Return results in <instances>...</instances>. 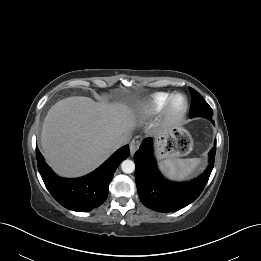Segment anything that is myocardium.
Masks as SVG:
<instances>
[{"label":"myocardium","instance_id":"obj_1","mask_svg":"<svg viewBox=\"0 0 261 261\" xmlns=\"http://www.w3.org/2000/svg\"><path fill=\"white\" fill-rule=\"evenodd\" d=\"M177 98L183 99V106L180 109H176L174 106L175 100ZM188 99L182 93H175L171 95L164 111V123L168 126H172L181 122L187 114L188 111Z\"/></svg>","mask_w":261,"mask_h":261}]
</instances>
